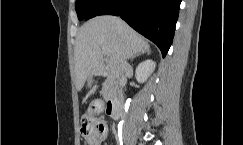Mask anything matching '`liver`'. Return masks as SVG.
<instances>
[{
    "instance_id": "1",
    "label": "liver",
    "mask_w": 243,
    "mask_h": 145,
    "mask_svg": "<svg viewBox=\"0 0 243 145\" xmlns=\"http://www.w3.org/2000/svg\"><path fill=\"white\" fill-rule=\"evenodd\" d=\"M103 48L111 53V63L119 65L150 46L137 32L121 19L104 15L86 22L76 36L74 47L75 84L80 91L91 72L103 61Z\"/></svg>"
}]
</instances>
